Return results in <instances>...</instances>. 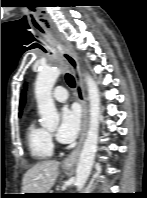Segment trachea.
<instances>
[{
  "mask_svg": "<svg viewBox=\"0 0 147 198\" xmlns=\"http://www.w3.org/2000/svg\"><path fill=\"white\" fill-rule=\"evenodd\" d=\"M43 49V48H42ZM45 51V49H43ZM65 79H66V82L67 84L71 87V88H74L75 87V80L73 78L72 75H70L69 73H67L65 75Z\"/></svg>",
  "mask_w": 147,
  "mask_h": 198,
  "instance_id": "3493384b",
  "label": "trachea"
}]
</instances>
